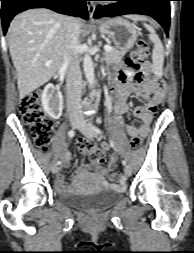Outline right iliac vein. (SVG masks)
I'll list each match as a JSON object with an SVG mask.
<instances>
[{
    "label": "right iliac vein",
    "instance_id": "1",
    "mask_svg": "<svg viewBox=\"0 0 194 253\" xmlns=\"http://www.w3.org/2000/svg\"><path fill=\"white\" fill-rule=\"evenodd\" d=\"M80 125V121L78 119H72L71 120V126L73 129L78 128ZM59 170V167L57 165L52 166V173L56 174Z\"/></svg>",
    "mask_w": 194,
    "mask_h": 253
}]
</instances>
